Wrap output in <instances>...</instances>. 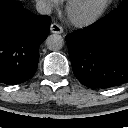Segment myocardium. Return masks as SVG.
I'll return each instance as SVG.
<instances>
[{"label":"myocardium","instance_id":"1","mask_svg":"<svg viewBox=\"0 0 128 128\" xmlns=\"http://www.w3.org/2000/svg\"><path fill=\"white\" fill-rule=\"evenodd\" d=\"M82 2L83 0H68L65 8V12L69 21L78 27H85L96 22L104 14L110 5L111 0H101L99 4L89 13L77 15L75 11Z\"/></svg>","mask_w":128,"mask_h":128}]
</instances>
